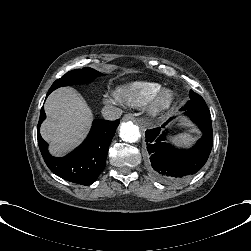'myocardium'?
<instances>
[{
    "instance_id": "1",
    "label": "myocardium",
    "mask_w": 251,
    "mask_h": 251,
    "mask_svg": "<svg viewBox=\"0 0 251 251\" xmlns=\"http://www.w3.org/2000/svg\"><path fill=\"white\" fill-rule=\"evenodd\" d=\"M164 90H170L173 94L172 100L169 102H162L160 100L161 93ZM179 102L178 91L167 82H160L154 90L148 104L147 109L151 114L157 115L162 112L174 108Z\"/></svg>"
}]
</instances>
